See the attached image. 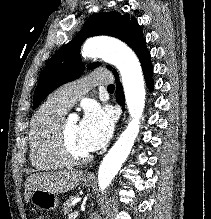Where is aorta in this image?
<instances>
[{"label": "aorta", "instance_id": "762f6f07", "mask_svg": "<svg viewBox=\"0 0 211 219\" xmlns=\"http://www.w3.org/2000/svg\"><path fill=\"white\" fill-rule=\"evenodd\" d=\"M82 55L100 57L118 68L126 104L132 118L100 164L98 184L100 189L104 190L121 169L138 135L140 118L145 106L144 78L137 56L128 46L120 42L90 39L84 44Z\"/></svg>", "mask_w": 211, "mask_h": 219}]
</instances>
